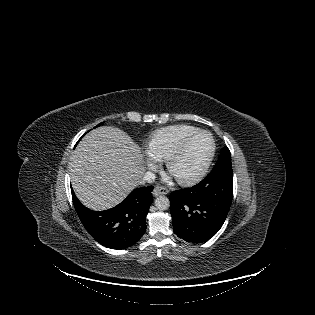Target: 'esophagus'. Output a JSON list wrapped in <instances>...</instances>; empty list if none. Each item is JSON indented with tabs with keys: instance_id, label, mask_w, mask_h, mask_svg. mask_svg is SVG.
I'll use <instances>...</instances> for the list:
<instances>
[{
	"instance_id": "esophagus-1",
	"label": "esophagus",
	"mask_w": 315,
	"mask_h": 315,
	"mask_svg": "<svg viewBox=\"0 0 315 315\" xmlns=\"http://www.w3.org/2000/svg\"><path fill=\"white\" fill-rule=\"evenodd\" d=\"M168 193V190L162 186H156L153 190V196L157 197L160 195H165Z\"/></svg>"
}]
</instances>
